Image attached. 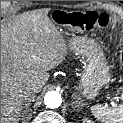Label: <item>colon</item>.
I'll list each match as a JSON object with an SVG mask.
<instances>
[{
  "label": "colon",
  "mask_w": 123,
  "mask_h": 123,
  "mask_svg": "<svg viewBox=\"0 0 123 123\" xmlns=\"http://www.w3.org/2000/svg\"><path fill=\"white\" fill-rule=\"evenodd\" d=\"M100 21V19H98V22ZM120 62H121V64H122V66H123V49L121 50V52H120Z\"/></svg>",
  "instance_id": "colon-1"
}]
</instances>
